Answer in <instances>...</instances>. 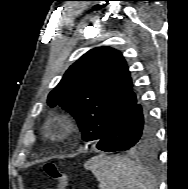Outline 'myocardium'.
Segmentation results:
<instances>
[{
  "label": "myocardium",
  "mask_w": 188,
  "mask_h": 189,
  "mask_svg": "<svg viewBox=\"0 0 188 189\" xmlns=\"http://www.w3.org/2000/svg\"><path fill=\"white\" fill-rule=\"evenodd\" d=\"M72 126V118L67 114H55L47 118L42 125L46 136H53L68 131Z\"/></svg>",
  "instance_id": "myocardium-1"
}]
</instances>
